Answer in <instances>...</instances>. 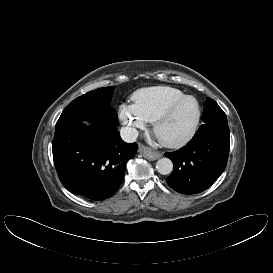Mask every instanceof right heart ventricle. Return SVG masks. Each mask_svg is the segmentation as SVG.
<instances>
[{
    "label": "right heart ventricle",
    "instance_id": "1",
    "mask_svg": "<svg viewBox=\"0 0 273 273\" xmlns=\"http://www.w3.org/2000/svg\"><path fill=\"white\" fill-rule=\"evenodd\" d=\"M184 96L178 89L167 86L147 87L137 90L131 96L133 106L146 119L154 122L156 117L174 100Z\"/></svg>",
    "mask_w": 273,
    "mask_h": 273
}]
</instances>
